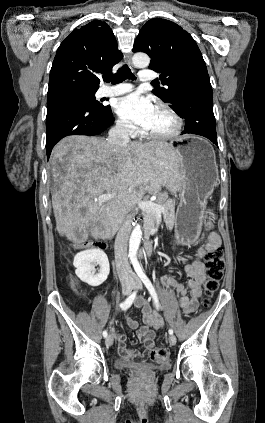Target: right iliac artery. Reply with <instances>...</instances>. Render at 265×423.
I'll list each match as a JSON object with an SVG mask.
<instances>
[{
	"instance_id": "right-iliac-artery-1",
	"label": "right iliac artery",
	"mask_w": 265,
	"mask_h": 423,
	"mask_svg": "<svg viewBox=\"0 0 265 423\" xmlns=\"http://www.w3.org/2000/svg\"><path fill=\"white\" fill-rule=\"evenodd\" d=\"M135 297H136V291L131 292L130 295L128 296V298L120 304V308L122 310L128 309L132 305ZM103 336H104V338H106L108 336V333H107L106 330L103 331Z\"/></svg>"
}]
</instances>
